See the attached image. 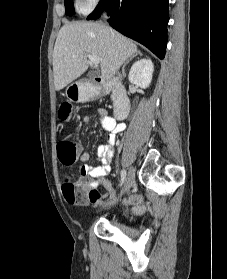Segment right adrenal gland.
Masks as SVG:
<instances>
[{
	"mask_svg": "<svg viewBox=\"0 0 227 279\" xmlns=\"http://www.w3.org/2000/svg\"><path fill=\"white\" fill-rule=\"evenodd\" d=\"M142 56V53L140 52V51H137L133 56H131L130 58H128L125 62H124V65H123V67H122V73H123V76H125L126 75V73H125V67H126V65L132 60V59H134L136 56Z\"/></svg>",
	"mask_w": 227,
	"mask_h": 279,
	"instance_id": "1",
	"label": "right adrenal gland"
}]
</instances>
